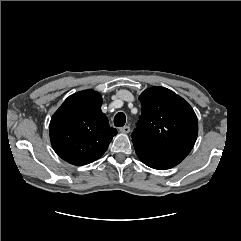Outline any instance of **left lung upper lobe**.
<instances>
[{
  "instance_id": "obj_1",
  "label": "left lung upper lobe",
  "mask_w": 241,
  "mask_h": 241,
  "mask_svg": "<svg viewBox=\"0 0 241 241\" xmlns=\"http://www.w3.org/2000/svg\"><path fill=\"white\" fill-rule=\"evenodd\" d=\"M139 100L140 130L133 132V144L152 151L188 155L198 134L192 107L179 95L159 86L146 89Z\"/></svg>"
}]
</instances>
